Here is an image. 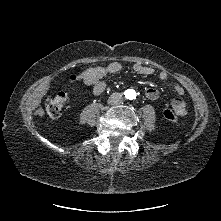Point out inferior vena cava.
I'll list each match as a JSON object with an SVG mask.
<instances>
[{
	"mask_svg": "<svg viewBox=\"0 0 221 221\" xmlns=\"http://www.w3.org/2000/svg\"><path fill=\"white\" fill-rule=\"evenodd\" d=\"M122 98V93L121 92H113L110 96V99L112 101H118Z\"/></svg>",
	"mask_w": 221,
	"mask_h": 221,
	"instance_id": "obj_1",
	"label": "inferior vena cava"
}]
</instances>
